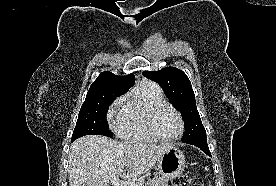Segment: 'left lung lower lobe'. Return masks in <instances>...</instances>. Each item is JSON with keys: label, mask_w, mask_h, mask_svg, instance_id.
I'll use <instances>...</instances> for the list:
<instances>
[{"label": "left lung lower lobe", "mask_w": 276, "mask_h": 186, "mask_svg": "<svg viewBox=\"0 0 276 186\" xmlns=\"http://www.w3.org/2000/svg\"><path fill=\"white\" fill-rule=\"evenodd\" d=\"M184 143L195 145L198 148H200L202 151H204L207 155L211 156L209 147L207 145V139L192 140V141H187Z\"/></svg>", "instance_id": "obj_1"}]
</instances>
